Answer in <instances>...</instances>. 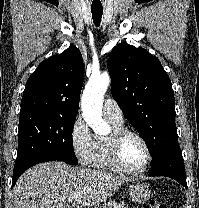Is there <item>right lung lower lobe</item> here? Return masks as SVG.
Returning a JSON list of instances; mask_svg holds the SVG:
<instances>
[{"label": "right lung lower lobe", "mask_w": 199, "mask_h": 208, "mask_svg": "<svg viewBox=\"0 0 199 208\" xmlns=\"http://www.w3.org/2000/svg\"><path fill=\"white\" fill-rule=\"evenodd\" d=\"M46 161H58V160H55V159L38 160V161L32 162V163L20 168V169L13 171L12 187L15 185V183H16L17 179L20 177V175L23 172H25L28 168H30L38 163H42V162H46Z\"/></svg>", "instance_id": "1"}]
</instances>
